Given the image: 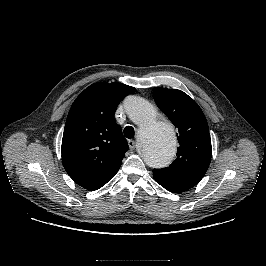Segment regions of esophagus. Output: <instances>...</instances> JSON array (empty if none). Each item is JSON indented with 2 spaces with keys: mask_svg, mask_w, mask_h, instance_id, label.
<instances>
[{
  "mask_svg": "<svg viewBox=\"0 0 266 266\" xmlns=\"http://www.w3.org/2000/svg\"><path fill=\"white\" fill-rule=\"evenodd\" d=\"M128 146L131 150L135 148V141L134 140H128Z\"/></svg>",
  "mask_w": 266,
  "mask_h": 266,
  "instance_id": "obj_1",
  "label": "esophagus"
}]
</instances>
